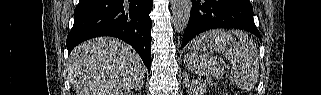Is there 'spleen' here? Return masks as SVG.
<instances>
[{
	"label": "spleen",
	"instance_id": "1",
	"mask_svg": "<svg viewBox=\"0 0 321 95\" xmlns=\"http://www.w3.org/2000/svg\"><path fill=\"white\" fill-rule=\"evenodd\" d=\"M232 34L238 37L237 43L228 42L229 32L212 31L200 35L191 43L184 64L195 74H211L219 79L224 69L216 63L212 55L215 51H223L232 66L231 83L242 90H250L255 86L259 73L257 47L246 33L233 31Z\"/></svg>",
	"mask_w": 321,
	"mask_h": 95
}]
</instances>
